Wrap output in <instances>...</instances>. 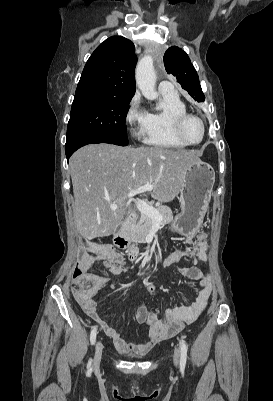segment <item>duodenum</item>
I'll list each match as a JSON object with an SVG mask.
<instances>
[{"label": "duodenum", "instance_id": "duodenum-1", "mask_svg": "<svg viewBox=\"0 0 273 401\" xmlns=\"http://www.w3.org/2000/svg\"><path fill=\"white\" fill-rule=\"evenodd\" d=\"M134 218L135 214L132 212L128 213L127 216L125 217L122 227L119 229L115 237V243L118 247L124 248L129 245V239L127 237V228L132 223ZM139 257H140L139 250L136 247H131L128 251V258L130 259V261L132 262L137 261Z\"/></svg>", "mask_w": 273, "mask_h": 401}]
</instances>
